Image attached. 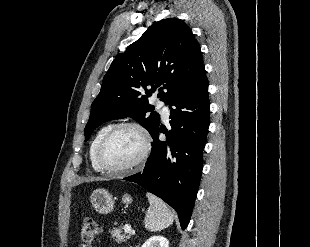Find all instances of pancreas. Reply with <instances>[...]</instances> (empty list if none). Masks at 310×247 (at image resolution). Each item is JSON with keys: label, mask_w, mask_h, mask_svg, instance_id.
I'll return each instance as SVG.
<instances>
[{"label": "pancreas", "mask_w": 310, "mask_h": 247, "mask_svg": "<svg viewBox=\"0 0 310 247\" xmlns=\"http://www.w3.org/2000/svg\"><path fill=\"white\" fill-rule=\"evenodd\" d=\"M112 238L115 239L116 242L122 243L131 237V232L123 231V228H113L110 231Z\"/></svg>", "instance_id": "cf45deb5"}]
</instances>
